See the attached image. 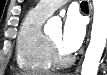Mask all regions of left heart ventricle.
Instances as JSON below:
<instances>
[{"label":"left heart ventricle","instance_id":"1","mask_svg":"<svg viewBox=\"0 0 107 75\" xmlns=\"http://www.w3.org/2000/svg\"><path fill=\"white\" fill-rule=\"evenodd\" d=\"M61 37H62V34L61 32H56V33H53L52 35H50V38L56 43L58 44L61 48ZM63 50V49H62ZM64 51V50H63Z\"/></svg>","mask_w":107,"mask_h":75}]
</instances>
